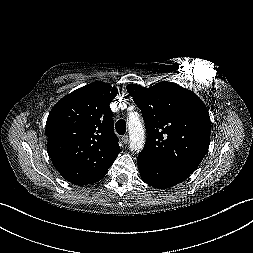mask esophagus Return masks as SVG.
I'll use <instances>...</instances> for the list:
<instances>
[{
  "label": "esophagus",
  "instance_id": "esophagus-1",
  "mask_svg": "<svg viewBox=\"0 0 253 253\" xmlns=\"http://www.w3.org/2000/svg\"><path fill=\"white\" fill-rule=\"evenodd\" d=\"M121 140H122V142L124 144H127L129 142V136L128 135H124V136H122Z\"/></svg>",
  "mask_w": 253,
  "mask_h": 253
}]
</instances>
